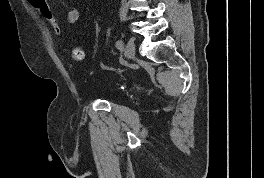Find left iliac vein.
<instances>
[{"mask_svg":"<svg viewBox=\"0 0 264 178\" xmlns=\"http://www.w3.org/2000/svg\"><path fill=\"white\" fill-rule=\"evenodd\" d=\"M125 57L126 58H131L134 55L135 52V43L132 38H130L125 46Z\"/></svg>","mask_w":264,"mask_h":178,"instance_id":"4c4485c4","label":"left iliac vein"}]
</instances>
